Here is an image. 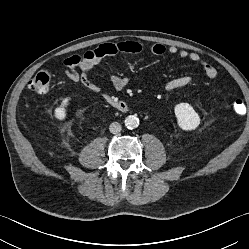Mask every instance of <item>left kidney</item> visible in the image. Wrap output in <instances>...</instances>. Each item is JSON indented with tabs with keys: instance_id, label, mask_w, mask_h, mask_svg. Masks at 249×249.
I'll return each instance as SVG.
<instances>
[{
	"instance_id": "1",
	"label": "left kidney",
	"mask_w": 249,
	"mask_h": 249,
	"mask_svg": "<svg viewBox=\"0 0 249 249\" xmlns=\"http://www.w3.org/2000/svg\"><path fill=\"white\" fill-rule=\"evenodd\" d=\"M178 126L185 131L195 130L200 124V117L188 103H179L174 108Z\"/></svg>"
}]
</instances>
